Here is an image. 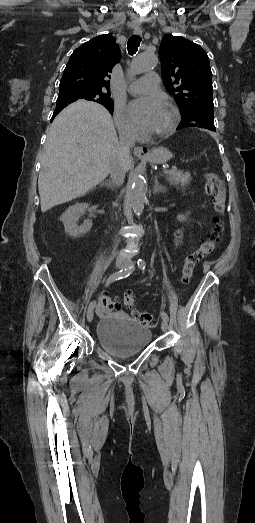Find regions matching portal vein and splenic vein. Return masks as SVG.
Returning a JSON list of instances; mask_svg holds the SVG:
<instances>
[{"instance_id": "1", "label": "portal vein and splenic vein", "mask_w": 255, "mask_h": 523, "mask_svg": "<svg viewBox=\"0 0 255 523\" xmlns=\"http://www.w3.org/2000/svg\"><path fill=\"white\" fill-rule=\"evenodd\" d=\"M179 173V168H172V167H169V168H162V169H159L157 171V174L159 176H162L164 173H169V174H172V173Z\"/></svg>"}]
</instances>
